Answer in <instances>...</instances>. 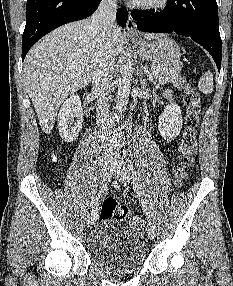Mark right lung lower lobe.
Returning a JSON list of instances; mask_svg holds the SVG:
<instances>
[{
    "instance_id": "obj_1",
    "label": "right lung lower lobe",
    "mask_w": 233,
    "mask_h": 286,
    "mask_svg": "<svg viewBox=\"0 0 233 286\" xmlns=\"http://www.w3.org/2000/svg\"><path fill=\"white\" fill-rule=\"evenodd\" d=\"M101 0H27L26 26L22 36V60L29 49L53 29L92 15ZM125 8L117 10L120 26L127 22Z\"/></svg>"
}]
</instances>
